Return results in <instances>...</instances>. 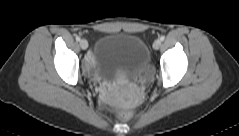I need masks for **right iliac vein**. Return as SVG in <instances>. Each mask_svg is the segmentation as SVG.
I'll return each instance as SVG.
<instances>
[{"label":"right iliac vein","mask_w":239,"mask_h":136,"mask_svg":"<svg viewBox=\"0 0 239 136\" xmlns=\"http://www.w3.org/2000/svg\"><path fill=\"white\" fill-rule=\"evenodd\" d=\"M80 46H81V48L82 49H87L88 48V42H87V40H85V39H82L81 41H80Z\"/></svg>","instance_id":"right-iliac-vein-1"}]
</instances>
